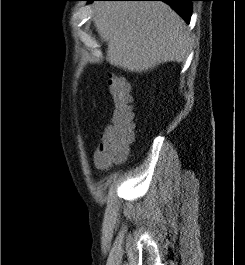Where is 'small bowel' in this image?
Masks as SVG:
<instances>
[{
    "label": "small bowel",
    "instance_id": "obj_1",
    "mask_svg": "<svg viewBox=\"0 0 245 265\" xmlns=\"http://www.w3.org/2000/svg\"><path fill=\"white\" fill-rule=\"evenodd\" d=\"M94 160H95V164H96V166H97L98 168H105V166L101 165V164L98 162L96 156L94 157Z\"/></svg>",
    "mask_w": 245,
    "mask_h": 265
}]
</instances>
